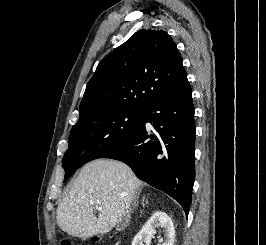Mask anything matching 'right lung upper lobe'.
<instances>
[{
	"label": "right lung upper lobe",
	"mask_w": 266,
	"mask_h": 245,
	"mask_svg": "<svg viewBox=\"0 0 266 245\" xmlns=\"http://www.w3.org/2000/svg\"><path fill=\"white\" fill-rule=\"evenodd\" d=\"M186 80L182 57L170 35L139 30L99 63L81 101L80 118L115 107L146 110Z\"/></svg>",
	"instance_id": "1"
}]
</instances>
